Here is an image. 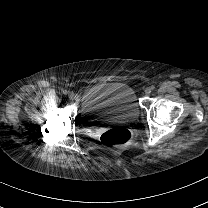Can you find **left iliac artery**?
Instances as JSON below:
<instances>
[{
	"mask_svg": "<svg viewBox=\"0 0 208 208\" xmlns=\"http://www.w3.org/2000/svg\"><path fill=\"white\" fill-rule=\"evenodd\" d=\"M151 89L154 90V89H155V86L152 85V86H151Z\"/></svg>",
	"mask_w": 208,
	"mask_h": 208,
	"instance_id": "left-iliac-artery-1",
	"label": "left iliac artery"
}]
</instances>
